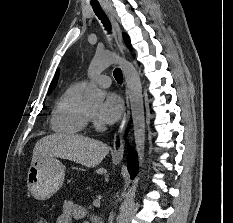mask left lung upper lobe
Masks as SVG:
<instances>
[{
    "mask_svg": "<svg viewBox=\"0 0 233 223\" xmlns=\"http://www.w3.org/2000/svg\"><path fill=\"white\" fill-rule=\"evenodd\" d=\"M123 37H124V41L126 43V45L130 48V42H129V38L126 34H123Z\"/></svg>",
    "mask_w": 233,
    "mask_h": 223,
    "instance_id": "left-lung-upper-lobe-1",
    "label": "left lung upper lobe"
}]
</instances>
